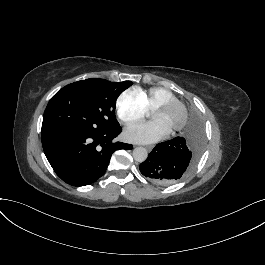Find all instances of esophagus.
Segmentation results:
<instances>
[{"instance_id":"34e87169","label":"esophagus","mask_w":265,"mask_h":265,"mask_svg":"<svg viewBox=\"0 0 265 265\" xmlns=\"http://www.w3.org/2000/svg\"><path fill=\"white\" fill-rule=\"evenodd\" d=\"M146 148H147V150H148L149 152H151L152 149L154 148V146H153V145H149V146H147Z\"/></svg>"}]
</instances>
